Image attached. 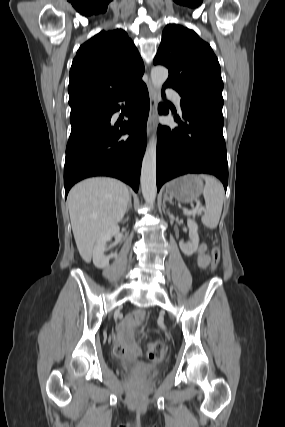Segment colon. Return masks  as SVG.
I'll return each instance as SVG.
<instances>
[{"mask_svg": "<svg viewBox=\"0 0 285 427\" xmlns=\"http://www.w3.org/2000/svg\"><path fill=\"white\" fill-rule=\"evenodd\" d=\"M220 262V249L215 246L211 250V267L216 269ZM116 352L118 354H124L125 349L118 345L116 347ZM147 353L151 360L159 361L164 357V345L160 341H149L147 343Z\"/></svg>", "mask_w": 285, "mask_h": 427, "instance_id": "colon-1", "label": "colon"}]
</instances>
